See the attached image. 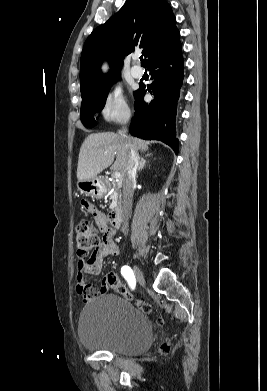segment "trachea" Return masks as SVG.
I'll use <instances>...</instances> for the list:
<instances>
[{"mask_svg": "<svg viewBox=\"0 0 267 391\" xmlns=\"http://www.w3.org/2000/svg\"><path fill=\"white\" fill-rule=\"evenodd\" d=\"M140 60H141V61L143 60V56L140 57Z\"/></svg>", "mask_w": 267, "mask_h": 391, "instance_id": "1", "label": "trachea"}]
</instances>
